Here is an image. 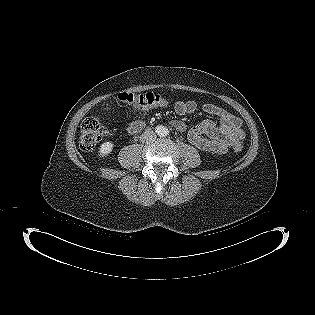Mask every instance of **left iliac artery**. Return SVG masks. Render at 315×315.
<instances>
[{"mask_svg": "<svg viewBox=\"0 0 315 315\" xmlns=\"http://www.w3.org/2000/svg\"><path fill=\"white\" fill-rule=\"evenodd\" d=\"M162 135L163 136L169 135V130L168 129H164Z\"/></svg>", "mask_w": 315, "mask_h": 315, "instance_id": "obj_1", "label": "left iliac artery"}]
</instances>
